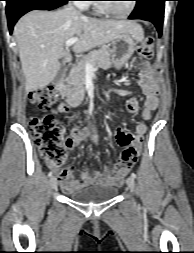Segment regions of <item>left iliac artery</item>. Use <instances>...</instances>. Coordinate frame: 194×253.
Masks as SVG:
<instances>
[{
    "label": "left iliac artery",
    "instance_id": "obj_1",
    "mask_svg": "<svg viewBox=\"0 0 194 253\" xmlns=\"http://www.w3.org/2000/svg\"><path fill=\"white\" fill-rule=\"evenodd\" d=\"M131 177L135 179L136 178V174L135 173H131Z\"/></svg>",
    "mask_w": 194,
    "mask_h": 253
}]
</instances>
